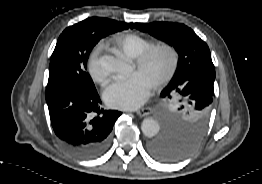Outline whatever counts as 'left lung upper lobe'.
I'll list each match as a JSON object with an SVG mask.
<instances>
[{
  "label": "left lung upper lobe",
  "mask_w": 262,
  "mask_h": 184,
  "mask_svg": "<svg viewBox=\"0 0 262 184\" xmlns=\"http://www.w3.org/2000/svg\"><path fill=\"white\" fill-rule=\"evenodd\" d=\"M133 27L167 42L179 53L176 73L160 94L159 113L164 135L193 150L209 127L214 97L215 69L209 47L181 23H135Z\"/></svg>",
  "instance_id": "left-lung-upper-lobe-1"
}]
</instances>
